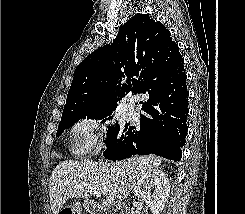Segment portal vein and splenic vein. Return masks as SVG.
Wrapping results in <instances>:
<instances>
[{"instance_id": "1", "label": "portal vein and splenic vein", "mask_w": 245, "mask_h": 214, "mask_svg": "<svg viewBox=\"0 0 245 214\" xmlns=\"http://www.w3.org/2000/svg\"><path fill=\"white\" fill-rule=\"evenodd\" d=\"M85 187H86V189L88 190V192H90L91 194L96 195L97 197H100V196H101V193H99V192H98L96 189H94L93 187L87 186V185H85ZM114 201H115V199H114L113 196H108V197H106V203L112 204Z\"/></svg>"}]
</instances>
